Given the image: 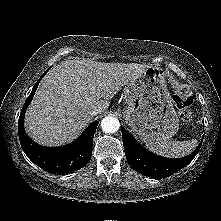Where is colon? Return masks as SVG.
Instances as JSON below:
<instances>
[{
	"label": "colon",
	"mask_w": 221,
	"mask_h": 221,
	"mask_svg": "<svg viewBox=\"0 0 221 221\" xmlns=\"http://www.w3.org/2000/svg\"><path fill=\"white\" fill-rule=\"evenodd\" d=\"M173 101L178 109L182 121L188 123L192 120V112L190 106L193 103V94L188 88H180L176 90Z\"/></svg>",
	"instance_id": "5ec220e1"
}]
</instances>
